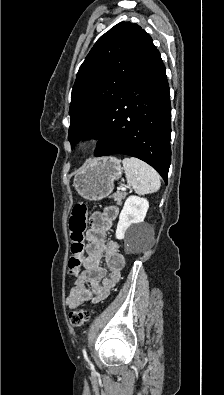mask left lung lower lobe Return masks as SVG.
I'll use <instances>...</instances> for the list:
<instances>
[{"mask_svg":"<svg viewBox=\"0 0 224 395\" xmlns=\"http://www.w3.org/2000/svg\"><path fill=\"white\" fill-rule=\"evenodd\" d=\"M171 106L165 66L155 48L107 108L95 157L126 154L139 158L167 183L171 162Z\"/></svg>","mask_w":224,"mask_h":395,"instance_id":"left-lung-lower-lobe-1","label":"left lung lower lobe"}]
</instances>
